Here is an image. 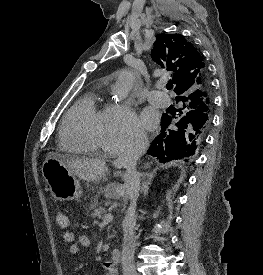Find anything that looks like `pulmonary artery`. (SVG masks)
I'll return each mask as SVG.
<instances>
[{
  "label": "pulmonary artery",
  "instance_id": "1",
  "mask_svg": "<svg viewBox=\"0 0 263 275\" xmlns=\"http://www.w3.org/2000/svg\"><path fill=\"white\" fill-rule=\"evenodd\" d=\"M160 88V86H158ZM148 100L158 106V107H167L170 104V98L168 95L161 90H152L148 93Z\"/></svg>",
  "mask_w": 263,
  "mask_h": 275
}]
</instances>
